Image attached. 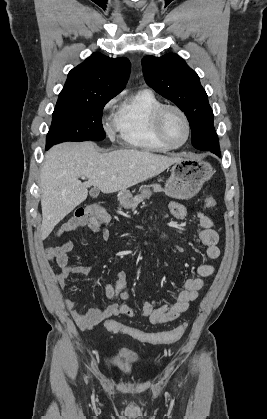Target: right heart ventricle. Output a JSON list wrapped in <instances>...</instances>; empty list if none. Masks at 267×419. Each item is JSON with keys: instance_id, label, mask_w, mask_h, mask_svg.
<instances>
[{"instance_id": "e07e8e85", "label": "right heart ventricle", "mask_w": 267, "mask_h": 419, "mask_svg": "<svg viewBox=\"0 0 267 419\" xmlns=\"http://www.w3.org/2000/svg\"><path fill=\"white\" fill-rule=\"evenodd\" d=\"M162 104L149 89L129 95L113 118V125L119 137L134 148L159 153L170 151V148L158 139L153 127L154 113Z\"/></svg>"}]
</instances>
